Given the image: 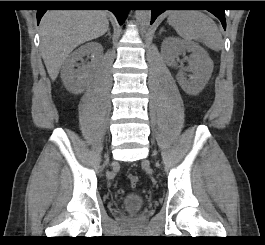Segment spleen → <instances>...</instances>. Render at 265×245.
<instances>
[{"mask_svg": "<svg viewBox=\"0 0 265 245\" xmlns=\"http://www.w3.org/2000/svg\"><path fill=\"white\" fill-rule=\"evenodd\" d=\"M168 22L185 41L202 42L214 51H219L223 47L217 25L200 11H172Z\"/></svg>", "mask_w": 265, "mask_h": 245, "instance_id": "3e777b00", "label": "spleen"}]
</instances>
